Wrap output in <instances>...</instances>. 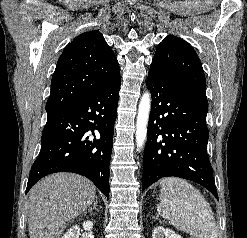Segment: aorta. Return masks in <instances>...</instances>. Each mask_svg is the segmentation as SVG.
Returning <instances> with one entry per match:
<instances>
[{"mask_svg": "<svg viewBox=\"0 0 247 238\" xmlns=\"http://www.w3.org/2000/svg\"><path fill=\"white\" fill-rule=\"evenodd\" d=\"M151 109V96L148 92L144 93L139 103L138 115L136 120V143L137 148L143 147L147 136V125Z\"/></svg>", "mask_w": 247, "mask_h": 238, "instance_id": "obj_1", "label": "aorta"}]
</instances>
